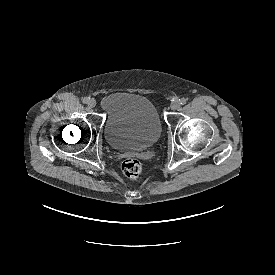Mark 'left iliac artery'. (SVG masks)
<instances>
[{
	"label": "left iliac artery",
	"mask_w": 275,
	"mask_h": 275,
	"mask_svg": "<svg viewBox=\"0 0 275 275\" xmlns=\"http://www.w3.org/2000/svg\"><path fill=\"white\" fill-rule=\"evenodd\" d=\"M179 101H180V104H181V105H184V104H186L187 99L182 98V99H180Z\"/></svg>",
	"instance_id": "44dca946"
}]
</instances>
